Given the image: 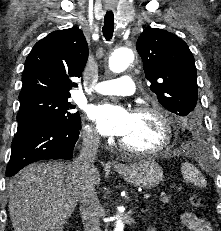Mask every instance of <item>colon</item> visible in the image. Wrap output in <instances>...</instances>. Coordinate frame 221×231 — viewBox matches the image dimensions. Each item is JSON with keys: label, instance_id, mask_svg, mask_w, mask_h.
Listing matches in <instances>:
<instances>
[{"label": "colon", "instance_id": "obj_1", "mask_svg": "<svg viewBox=\"0 0 221 231\" xmlns=\"http://www.w3.org/2000/svg\"><path fill=\"white\" fill-rule=\"evenodd\" d=\"M189 202L195 208H201L204 203L203 198L196 194L189 197Z\"/></svg>", "mask_w": 221, "mask_h": 231}]
</instances>
